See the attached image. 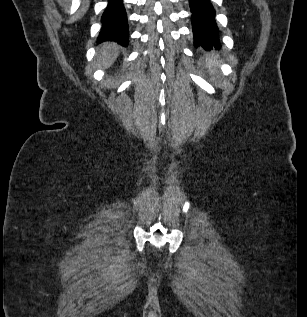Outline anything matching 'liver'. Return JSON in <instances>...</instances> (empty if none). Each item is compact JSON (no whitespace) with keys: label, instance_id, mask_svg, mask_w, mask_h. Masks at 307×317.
Listing matches in <instances>:
<instances>
[{"label":"liver","instance_id":"obj_1","mask_svg":"<svg viewBox=\"0 0 307 317\" xmlns=\"http://www.w3.org/2000/svg\"><path fill=\"white\" fill-rule=\"evenodd\" d=\"M120 47L116 43L106 42L98 49L95 64L100 69H108L117 59Z\"/></svg>","mask_w":307,"mask_h":317}]
</instances>
